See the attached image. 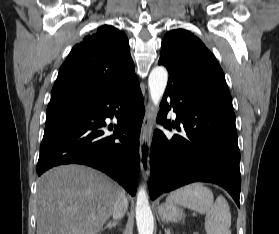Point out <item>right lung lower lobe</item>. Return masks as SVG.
<instances>
[{
	"instance_id": "obj_1",
	"label": "right lung lower lobe",
	"mask_w": 279,
	"mask_h": 234,
	"mask_svg": "<svg viewBox=\"0 0 279 234\" xmlns=\"http://www.w3.org/2000/svg\"><path fill=\"white\" fill-rule=\"evenodd\" d=\"M144 114L140 85L134 78L106 97L47 115L36 167L38 176L57 165L84 164L105 172L134 196ZM113 116L118 122L115 133L106 136L105 119Z\"/></svg>"
}]
</instances>
